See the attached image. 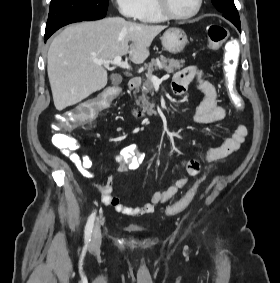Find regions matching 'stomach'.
<instances>
[{"label": "stomach", "mask_w": 280, "mask_h": 283, "mask_svg": "<svg viewBox=\"0 0 280 283\" xmlns=\"http://www.w3.org/2000/svg\"><path fill=\"white\" fill-rule=\"evenodd\" d=\"M163 48L172 54L181 53L188 44V37L180 28H170L161 37Z\"/></svg>", "instance_id": "0dacf381"}]
</instances>
